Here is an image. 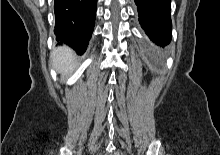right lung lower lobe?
Segmentation results:
<instances>
[{
	"mask_svg": "<svg viewBox=\"0 0 220 155\" xmlns=\"http://www.w3.org/2000/svg\"><path fill=\"white\" fill-rule=\"evenodd\" d=\"M96 9L97 0H55L56 40L83 54L92 36Z\"/></svg>",
	"mask_w": 220,
	"mask_h": 155,
	"instance_id": "right-lung-lower-lobe-1",
	"label": "right lung lower lobe"
}]
</instances>
